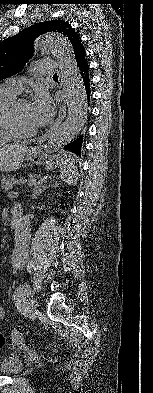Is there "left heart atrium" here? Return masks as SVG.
Listing matches in <instances>:
<instances>
[{
    "instance_id": "39dd6f15",
    "label": "left heart atrium",
    "mask_w": 153,
    "mask_h": 393,
    "mask_svg": "<svg viewBox=\"0 0 153 393\" xmlns=\"http://www.w3.org/2000/svg\"><path fill=\"white\" fill-rule=\"evenodd\" d=\"M55 107L47 93L39 91L30 104V114L35 126L47 124L54 116Z\"/></svg>"
}]
</instances>
